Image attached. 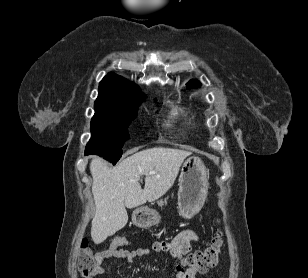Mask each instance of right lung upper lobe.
<instances>
[{
  "label": "right lung upper lobe",
  "mask_w": 308,
  "mask_h": 278,
  "mask_svg": "<svg viewBox=\"0 0 308 278\" xmlns=\"http://www.w3.org/2000/svg\"><path fill=\"white\" fill-rule=\"evenodd\" d=\"M144 100L145 96L137 85L109 73L99 84L92 119H129L137 115L138 106Z\"/></svg>",
  "instance_id": "1"
}]
</instances>
